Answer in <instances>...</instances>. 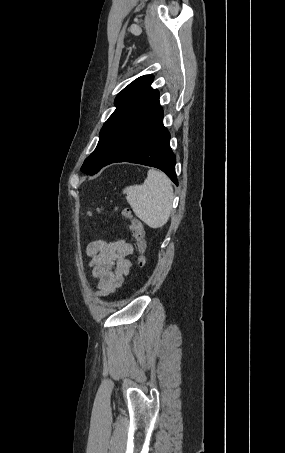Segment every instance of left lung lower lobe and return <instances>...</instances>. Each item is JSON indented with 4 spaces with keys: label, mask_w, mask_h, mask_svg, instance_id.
<instances>
[{
    "label": "left lung lower lobe",
    "mask_w": 285,
    "mask_h": 453,
    "mask_svg": "<svg viewBox=\"0 0 285 453\" xmlns=\"http://www.w3.org/2000/svg\"><path fill=\"white\" fill-rule=\"evenodd\" d=\"M169 141L170 133L163 126V109L158 96L124 131L103 167L124 161L152 166L165 172L178 185L176 157Z\"/></svg>",
    "instance_id": "obj_1"
}]
</instances>
